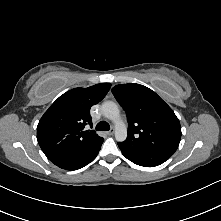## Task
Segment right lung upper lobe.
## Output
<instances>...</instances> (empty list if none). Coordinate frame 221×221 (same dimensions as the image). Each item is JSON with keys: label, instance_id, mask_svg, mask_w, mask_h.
<instances>
[{"label": "right lung upper lobe", "instance_id": "right-lung-upper-lobe-1", "mask_svg": "<svg viewBox=\"0 0 221 221\" xmlns=\"http://www.w3.org/2000/svg\"><path fill=\"white\" fill-rule=\"evenodd\" d=\"M110 83L74 88L61 95L44 113L37 126V140L47 158L58 167L71 170L91 155L103 138L91 125L90 108L108 93Z\"/></svg>", "mask_w": 221, "mask_h": 221}]
</instances>
